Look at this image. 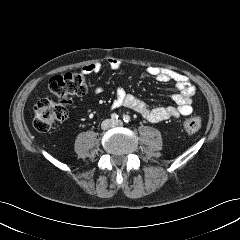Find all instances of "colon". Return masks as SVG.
Returning <instances> with one entry per match:
<instances>
[{"label": "colon", "instance_id": "1", "mask_svg": "<svg viewBox=\"0 0 240 240\" xmlns=\"http://www.w3.org/2000/svg\"><path fill=\"white\" fill-rule=\"evenodd\" d=\"M53 98L44 97L34 107V128L39 132L48 131L54 124L63 122L68 117L71 105L70 96H82L87 92L86 80L80 73H64L53 76L48 84ZM202 121L198 116H190L183 122V129L188 134L200 130Z\"/></svg>", "mask_w": 240, "mask_h": 240}]
</instances>
